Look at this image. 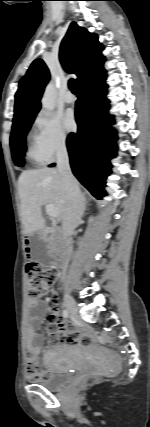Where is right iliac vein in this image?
Masks as SVG:
<instances>
[{"label":"right iliac vein","instance_id":"obj_1","mask_svg":"<svg viewBox=\"0 0 150 427\" xmlns=\"http://www.w3.org/2000/svg\"><path fill=\"white\" fill-rule=\"evenodd\" d=\"M64 304L67 308V310L72 314V315H76L77 314V307H76V303L74 301V299L66 294L64 296Z\"/></svg>","mask_w":150,"mask_h":427}]
</instances>
